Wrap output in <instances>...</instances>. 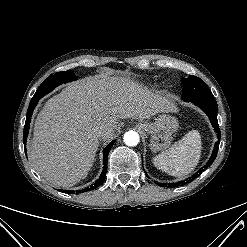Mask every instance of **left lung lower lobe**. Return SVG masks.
<instances>
[{"label":"left lung lower lobe","mask_w":247,"mask_h":247,"mask_svg":"<svg viewBox=\"0 0 247 247\" xmlns=\"http://www.w3.org/2000/svg\"><path fill=\"white\" fill-rule=\"evenodd\" d=\"M187 102L194 103L195 105L200 107L208 115V117L212 123V126L214 127V130L217 132L218 139H220V129L218 126V121H217V102L214 99V97L204 98V99H191V100H187ZM219 144H220V141L218 140L215 143L211 158L206 163V165H204V167H202L197 173L193 174L186 181L179 182L178 185H183V184L189 183V182L193 181L196 177H198L215 160V158L217 156ZM163 185H167V184H163Z\"/></svg>","instance_id":"left-lung-lower-lobe-1"}]
</instances>
